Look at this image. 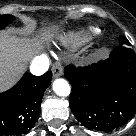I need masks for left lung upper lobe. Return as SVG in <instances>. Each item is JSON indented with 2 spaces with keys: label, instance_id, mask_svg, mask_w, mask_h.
Returning <instances> with one entry per match:
<instances>
[{
  "label": "left lung upper lobe",
  "instance_id": "1",
  "mask_svg": "<svg viewBox=\"0 0 136 136\" xmlns=\"http://www.w3.org/2000/svg\"><path fill=\"white\" fill-rule=\"evenodd\" d=\"M119 45L129 46V45H130V43H129V41H128V40H126V38H125V37L121 36V37H120V41H119Z\"/></svg>",
  "mask_w": 136,
  "mask_h": 136
}]
</instances>
